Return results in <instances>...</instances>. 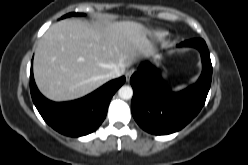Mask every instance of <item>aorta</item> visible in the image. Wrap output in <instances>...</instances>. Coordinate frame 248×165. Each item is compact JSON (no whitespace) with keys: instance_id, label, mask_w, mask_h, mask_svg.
<instances>
[{"instance_id":"aorta-1","label":"aorta","mask_w":248,"mask_h":165,"mask_svg":"<svg viewBox=\"0 0 248 165\" xmlns=\"http://www.w3.org/2000/svg\"><path fill=\"white\" fill-rule=\"evenodd\" d=\"M118 95L123 100H129L133 96V90L130 86H122L118 90Z\"/></svg>"}]
</instances>
